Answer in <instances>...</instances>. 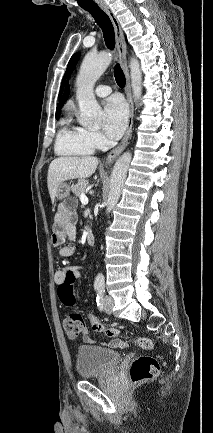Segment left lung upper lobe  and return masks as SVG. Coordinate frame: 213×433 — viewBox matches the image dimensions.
Returning a JSON list of instances; mask_svg holds the SVG:
<instances>
[{"mask_svg":"<svg viewBox=\"0 0 213 433\" xmlns=\"http://www.w3.org/2000/svg\"><path fill=\"white\" fill-rule=\"evenodd\" d=\"M79 56H80V53H75V54L71 57V59H70V61H69V63H68V66H67V69H66L65 75H64V77H63V81H62L61 90H60V94H59V95H61V93H62V91H63V85H64V81H65L67 75H68V74L73 70V68L75 67V65H76V63H77V61H78V59H79Z\"/></svg>","mask_w":213,"mask_h":433,"instance_id":"left-lung-upper-lobe-1","label":"left lung upper lobe"}]
</instances>
